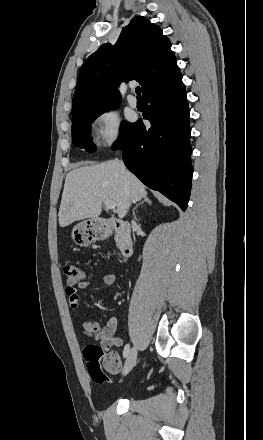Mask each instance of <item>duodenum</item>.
I'll use <instances>...</instances> for the list:
<instances>
[{
    "label": "duodenum",
    "mask_w": 263,
    "mask_h": 440,
    "mask_svg": "<svg viewBox=\"0 0 263 440\" xmlns=\"http://www.w3.org/2000/svg\"><path fill=\"white\" fill-rule=\"evenodd\" d=\"M101 228L104 238L112 232L117 233L122 260H127L132 256L134 244L131 237V225L128 222L116 218H107Z\"/></svg>",
    "instance_id": "410a0bca"
}]
</instances>
